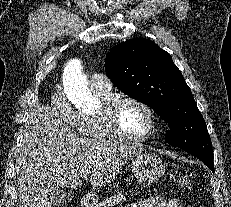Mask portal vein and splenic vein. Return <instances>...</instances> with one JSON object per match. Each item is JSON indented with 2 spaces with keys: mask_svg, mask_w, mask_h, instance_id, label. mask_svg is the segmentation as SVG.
Returning <instances> with one entry per match:
<instances>
[{
  "mask_svg": "<svg viewBox=\"0 0 231 207\" xmlns=\"http://www.w3.org/2000/svg\"><path fill=\"white\" fill-rule=\"evenodd\" d=\"M87 176H88V174H85V175L83 176V178H84V179H87Z\"/></svg>",
  "mask_w": 231,
  "mask_h": 207,
  "instance_id": "18ae733b",
  "label": "portal vein and splenic vein"
}]
</instances>
